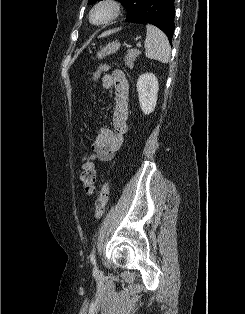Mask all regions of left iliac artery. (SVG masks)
Instances as JSON below:
<instances>
[{
  "instance_id": "left-iliac-artery-1",
  "label": "left iliac artery",
  "mask_w": 245,
  "mask_h": 314,
  "mask_svg": "<svg viewBox=\"0 0 245 314\" xmlns=\"http://www.w3.org/2000/svg\"><path fill=\"white\" fill-rule=\"evenodd\" d=\"M90 260H91L92 264L96 265L95 250L92 251V253L90 255Z\"/></svg>"
}]
</instances>
